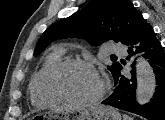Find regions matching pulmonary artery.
I'll return each mask as SVG.
<instances>
[{
	"label": "pulmonary artery",
	"instance_id": "e3ab8cb5",
	"mask_svg": "<svg viewBox=\"0 0 165 120\" xmlns=\"http://www.w3.org/2000/svg\"><path fill=\"white\" fill-rule=\"evenodd\" d=\"M107 51L109 53H112V54H118V55H122V54H125L126 53V49L124 46L120 45V44H109L107 46Z\"/></svg>",
	"mask_w": 165,
	"mask_h": 120
}]
</instances>
